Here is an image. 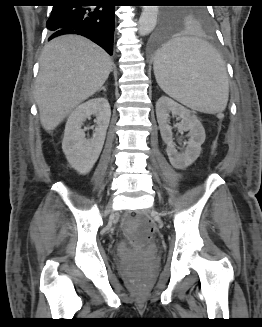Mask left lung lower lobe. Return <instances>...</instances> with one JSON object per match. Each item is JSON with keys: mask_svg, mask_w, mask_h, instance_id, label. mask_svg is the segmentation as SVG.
Returning <instances> with one entry per match:
<instances>
[{"mask_svg": "<svg viewBox=\"0 0 262 327\" xmlns=\"http://www.w3.org/2000/svg\"><path fill=\"white\" fill-rule=\"evenodd\" d=\"M170 38L169 28L161 25L151 36L148 48L151 52H159L168 42Z\"/></svg>", "mask_w": 262, "mask_h": 327, "instance_id": "left-lung-lower-lobe-1", "label": "left lung lower lobe"}]
</instances>
